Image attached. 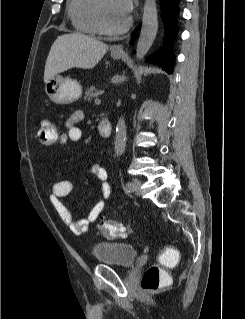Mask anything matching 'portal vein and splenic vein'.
I'll return each mask as SVG.
<instances>
[{"label": "portal vein and splenic vein", "mask_w": 245, "mask_h": 319, "mask_svg": "<svg viewBox=\"0 0 245 319\" xmlns=\"http://www.w3.org/2000/svg\"><path fill=\"white\" fill-rule=\"evenodd\" d=\"M95 103H100V99H99V98H96V99H95Z\"/></svg>", "instance_id": "1"}]
</instances>
